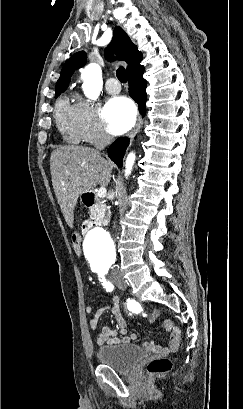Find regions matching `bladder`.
<instances>
[{
    "label": "bladder",
    "instance_id": "31cf9c89",
    "mask_svg": "<svg viewBox=\"0 0 243 409\" xmlns=\"http://www.w3.org/2000/svg\"><path fill=\"white\" fill-rule=\"evenodd\" d=\"M96 355L101 364L125 373L145 358L147 351L138 345L123 343L102 346L97 350Z\"/></svg>",
    "mask_w": 243,
    "mask_h": 409
}]
</instances>
